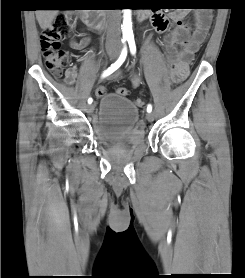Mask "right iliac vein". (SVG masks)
<instances>
[{
    "mask_svg": "<svg viewBox=\"0 0 245 278\" xmlns=\"http://www.w3.org/2000/svg\"><path fill=\"white\" fill-rule=\"evenodd\" d=\"M117 54H118L117 49H112V50H109V52H108V55H109L110 59H114ZM93 111H94V105H88L87 106V112L92 113Z\"/></svg>",
    "mask_w": 245,
    "mask_h": 278,
    "instance_id": "right-iliac-vein-1",
    "label": "right iliac vein"
}]
</instances>
